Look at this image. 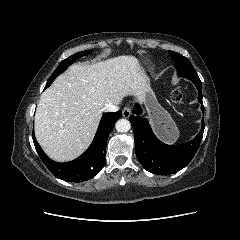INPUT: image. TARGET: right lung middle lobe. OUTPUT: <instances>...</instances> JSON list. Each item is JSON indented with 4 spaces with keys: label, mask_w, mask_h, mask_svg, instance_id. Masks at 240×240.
<instances>
[{
    "label": "right lung middle lobe",
    "mask_w": 240,
    "mask_h": 240,
    "mask_svg": "<svg viewBox=\"0 0 240 240\" xmlns=\"http://www.w3.org/2000/svg\"><path fill=\"white\" fill-rule=\"evenodd\" d=\"M90 53L89 51H82V52H78L70 57H68L67 59L63 60L59 66L55 69V71L53 72V74L51 75V77L49 78L46 87H49L51 85V83L54 81V79L61 74L63 71H65L67 69L68 66H70L72 64L73 61H75L76 59H78L79 57H82L84 55H87Z\"/></svg>",
    "instance_id": "obj_1"
}]
</instances>
